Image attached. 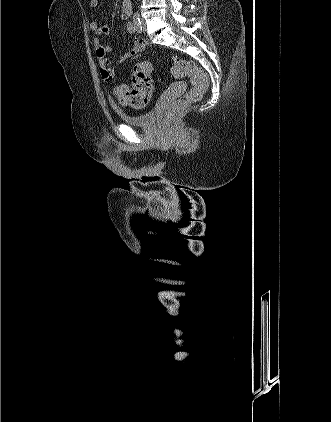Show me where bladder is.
I'll list each match as a JSON object with an SVG mask.
<instances>
[{"instance_id":"31cf9c89","label":"bladder","mask_w":331,"mask_h":422,"mask_svg":"<svg viewBox=\"0 0 331 422\" xmlns=\"http://www.w3.org/2000/svg\"><path fill=\"white\" fill-rule=\"evenodd\" d=\"M119 118L126 124L139 128H152L158 117V108L155 106L141 114H128L118 111Z\"/></svg>"}]
</instances>
